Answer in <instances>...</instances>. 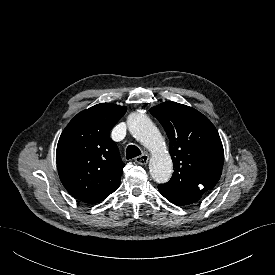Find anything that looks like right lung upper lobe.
Here are the masks:
<instances>
[{"instance_id":"right-lung-upper-lobe-1","label":"right lung upper lobe","mask_w":275,"mask_h":275,"mask_svg":"<svg viewBox=\"0 0 275 275\" xmlns=\"http://www.w3.org/2000/svg\"><path fill=\"white\" fill-rule=\"evenodd\" d=\"M127 108L101 103L77 114L61 134L56 151L60 180L85 203H96L120 185L125 164L110 130Z\"/></svg>"}]
</instances>
